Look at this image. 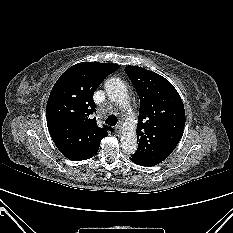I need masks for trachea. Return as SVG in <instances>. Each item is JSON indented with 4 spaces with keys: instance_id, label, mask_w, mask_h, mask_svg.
<instances>
[{
    "instance_id": "obj_1",
    "label": "trachea",
    "mask_w": 233,
    "mask_h": 233,
    "mask_svg": "<svg viewBox=\"0 0 233 233\" xmlns=\"http://www.w3.org/2000/svg\"><path fill=\"white\" fill-rule=\"evenodd\" d=\"M105 123L110 126H115L117 124V117L114 114H111L107 117Z\"/></svg>"
}]
</instances>
